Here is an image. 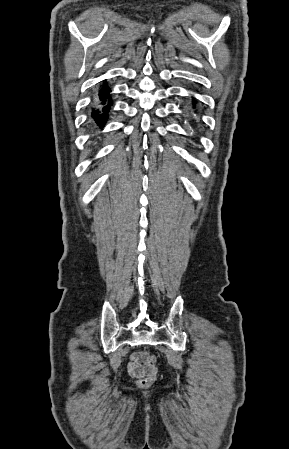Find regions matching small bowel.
Returning a JSON list of instances; mask_svg holds the SVG:
<instances>
[{"label": "small bowel", "instance_id": "1", "mask_svg": "<svg viewBox=\"0 0 289 449\" xmlns=\"http://www.w3.org/2000/svg\"><path fill=\"white\" fill-rule=\"evenodd\" d=\"M146 355L147 353L142 351L131 354L127 369L132 377L139 379L151 372H157V368L147 362Z\"/></svg>", "mask_w": 289, "mask_h": 449}]
</instances>
